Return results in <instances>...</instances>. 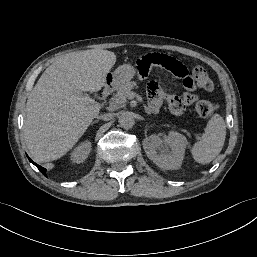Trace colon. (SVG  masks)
<instances>
[{"label":"colon","instance_id":"colon-1","mask_svg":"<svg viewBox=\"0 0 257 257\" xmlns=\"http://www.w3.org/2000/svg\"><path fill=\"white\" fill-rule=\"evenodd\" d=\"M182 64V63H181ZM183 65V64H182ZM184 69L187 68L183 65ZM195 86L200 89L210 91L213 89V82L207 73L206 69L202 66H196L192 70ZM217 106L215 103L208 100H200L196 104V111L202 118H210L214 115Z\"/></svg>","mask_w":257,"mask_h":257}]
</instances>
